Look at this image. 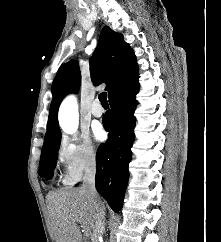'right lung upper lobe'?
Masks as SVG:
<instances>
[{"mask_svg":"<svg viewBox=\"0 0 221 242\" xmlns=\"http://www.w3.org/2000/svg\"><path fill=\"white\" fill-rule=\"evenodd\" d=\"M90 73L94 85L107 84L108 97L126 78L138 73L136 57L123 36L105 26L100 34L96 50L90 58ZM81 84V73L75 60L63 64L53 81V99L50 106L45 138L61 134L58 126V108L69 93H77Z\"/></svg>","mask_w":221,"mask_h":242,"instance_id":"1","label":"right lung upper lobe"}]
</instances>
